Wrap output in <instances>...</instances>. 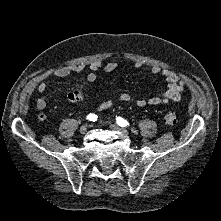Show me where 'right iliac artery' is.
Segmentation results:
<instances>
[{
    "mask_svg": "<svg viewBox=\"0 0 221 221\" xmlns=\"http://www.w3.org/2000/svg\"><path fill=\"white\" fill-rule=\"evenodd\" d=\"M87 119L90 120V121H96L97 120V115H95L93 113H90V114H88Z\"/></svg>",
    "mask_w": 221,
    "mask_h": 221,
    "instance_id": "1",
    "label": "right iliac artery"
}]
</instances>
